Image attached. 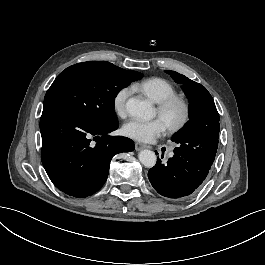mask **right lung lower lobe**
Returning a JSON list of instances; mask_svg holds the SVG:
<instances>
[{
    "label": "right lung lower lobe",
    "instance_id": "98d812e1",
    "mask_svg": "<svg viewBox=\"0 0 265 265\" xmlns=\"http://www.w3.org/2000/svg\"><path fill=\"white\" fill-rule=\"evenodd\" d=\"M117 128L118 124L96 127L62 111L43 110L41 159L53 184L78 198L97 192L107 179L112 157L135 148L128 138L109 136Z\"/></svg>",
    "mask_w": 265,
    "mask_h": 265
}]
</instances>
